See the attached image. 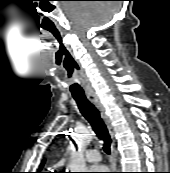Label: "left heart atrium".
I'll list each match as a JSON object with an SVG mask.
<instances>
[{
  "label": "left heart atrium",
  "instance_id": "1",
  "mask_svg": "<svg viewBox=\"0 0 170 173\" xmlns=\"http://www.w3.org/2000/svg\"><path fill=\"white\" fill-rule=\"evenodd\" d=\"M91 173H106L107 168L104 166H92L89 168Z\"/></svg>",
  "mask_w": 170,
  "mask_h": 173
}]
</instances>
